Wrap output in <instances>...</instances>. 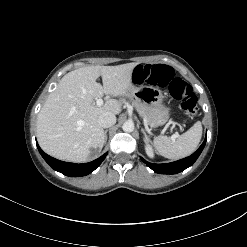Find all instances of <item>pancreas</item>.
<instances>
[{
  "instance_id": "cf45deb5",
  "label": "pancreas",
  "mask_w": 247,
  "mask_h": 247,
  "mask_svg": "<svg viewBox=\"0 0 247 247\" xmlns=\"http://www.w3.org/2000/svg\"><path fill=\"white\" fill-rule=\"evenodd\" d=\"M145 124L151 127L161 126L168 119V112L159 106H149L139 100H131Z\"/></svg>"
}]
</instances>
